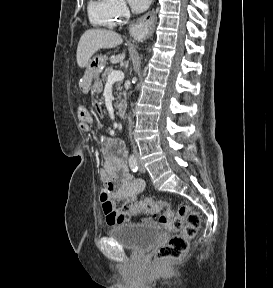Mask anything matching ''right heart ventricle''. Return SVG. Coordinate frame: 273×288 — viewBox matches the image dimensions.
<instances>
[{"label":"right heart ventricle","instance_id":"e07e8e85","mask_svg":"<svg viewBox=\"0 0 273 288\" xmlns=\"http://www.w3.org/2000/svg\"><path fill=\"white\" fill-rule=\"evenodd\" d=\"M88 15L95 26L114 28L121 22L113 9L111 0H90Z\"/></svg>","mask_w":273,"mask_h":288}]
</instances>
